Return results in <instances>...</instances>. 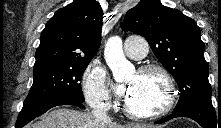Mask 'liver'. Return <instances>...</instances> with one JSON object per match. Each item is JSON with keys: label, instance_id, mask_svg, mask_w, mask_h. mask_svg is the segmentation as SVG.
<instances>
[{"label": "liver", "instance_id": "1", "mask_svg": "<svg viewBox=\"0 0 221 128\" xmlns=\"http://www.w3.org/2000/svg\"><path fill=\"white\" fill-rule=\"evenodd\" d=\"M28 128H160L154 125L130 124L126 126L107 121H96L92 113L69 108H57L41 117L40 121Z\"/></svg>", "mask_w": 221, "mask_h": 128}]
</instances>
